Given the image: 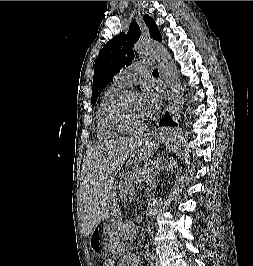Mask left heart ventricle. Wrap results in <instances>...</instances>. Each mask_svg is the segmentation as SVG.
<instances>
[{"instance_id": "b2bd125f", "label": "left heart ventricle", "mask_w": 253, "mask_h": 266, "mask_svg": "<svg viewBox=\"0 0 253 266\" xmlns=\"http://www.w3.org/2000/svg\"><path fill=\"white\" fill-rule=\"evenodd\" d=\"M119 118L128 125H137L146 119V114L138 94L127 97L118 109Z\"/></svg>"}]
</instances>
